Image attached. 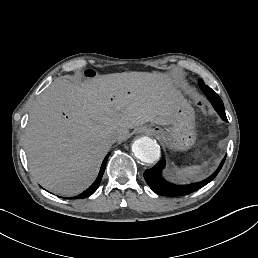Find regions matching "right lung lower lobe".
<instances>
[{
	"mask_svg": "<svg viewBox=\"0 0 258 258\" xmlns=\"http://www.w3.org/2000/svg\"><path fill=\"white\" fill-rule=\"evenodd\" d=\"M109 155L110 154H107V156L105 157V159H104V161H103V163L101 165V169H100L99 175H98L97 179L95 180V182L86 191H84L80 195L75 196V197H71L69 199L86 198V197L92 195L97 190V188L99 187V184L101 182L102 176L104 174L105 167H106V162H107V159H108Z\"/></svg>",
	"mask_w": 258,
	"mask_h": 258,
	"instance_id": "98d812e1",
	"label": "right lung lower lobe"
}]
</instances>
